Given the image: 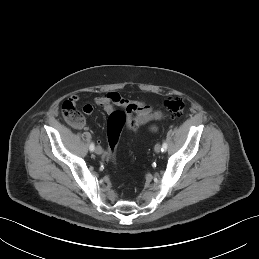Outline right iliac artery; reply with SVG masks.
Listing matches in <instances>:
<instances>
[{"label":"right iliac artery","instance_id":"obj_1","mask_svg":"<svg viewBox=\"0 0 259 259\" xmlns=\"http://www.w3.org/2000/svg\"><path fill=\"white\" fill-rule=\"evenodd\" d=\"M94 148H95L94 144L91 143L90 146H89L90 151H94Z\"/></svg>","mask_w":259,"mask_h":259}]
</instances>
